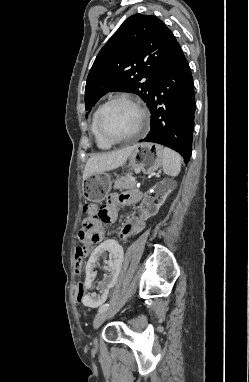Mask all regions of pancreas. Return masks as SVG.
<instances>
[{
  "mask_svg": "<svg viewBox=\"0 0 249 382\" xmlns=\"http://www.w3.org/2000/svg\"><path fill=\"white\" fill-rule=\"evenodd\" d=\"M132 173H126L124 176L119 177L114 183V189H136V181H131Z\"/></svg>",
  "mask_w": 249,
  "mask_h": 382,
  "instance_id": "cf45deb5",
  "label": "pancreas"
}]
</instances>
